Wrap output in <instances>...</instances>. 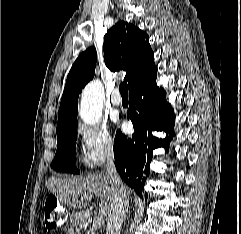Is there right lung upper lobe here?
Listing matches in <instances>:
<instances>
[{"label":"right lung upper lobe","mask_w":241,"mask_h":234,"mask_svg":"<svg viewBox=\"0 0 241 234\" xmlns=\"http://www.w3.org/2000/svg\"><path fill=\"white\" fill-rule=\"evenodd\" d=\"M103 51L105 64L111 71L127 72L129 90L156 69L148 35L130 23L119 21L107 31ZM96 60V49L91 47L73 64L60 103L57 132L77 124L78 97L95 74Z\"/></svg>","instance_id":"right-lung-upper-lobe-1"}]
</instances>
